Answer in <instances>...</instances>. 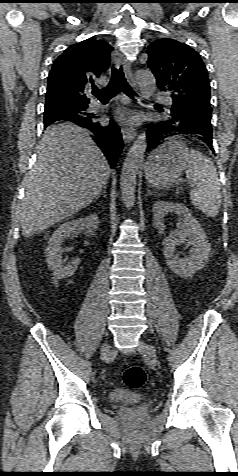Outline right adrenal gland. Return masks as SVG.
I'll list each match as a JSON object with an SVG mask.
<instances>
[{
  "label": "right adrenal gland",
  "mask_w": 238,
  "mask_h": 476,
  "mask_svg": "<svg viewBox=\"0 0 238 476\" xmlns=\"http://www.w3.org/2000/svg\"><path fill=\"white\" fill-rule=\"evenodd\" d=\"M100 195L106 197V186L102 188L101 192L95 197L94 201H96L100 197Z\"/></svg>",
  "instance_id": "1"
}]
</instances>
